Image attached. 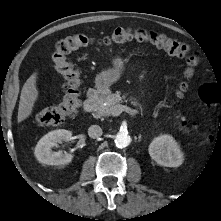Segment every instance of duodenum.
Here are the masks:
<instances>
[{"mask_svg":"<svg viewBox=\"0 0 221 221\" xmlns=\"http://www.w3.org/2000/svg\"><path fill=\"white\" fill-rule=\"evenodd\" d=\"M102 95H103V92L101 90H98V89L91 90L88 93L86 101L84 102L83 111L85 113H89L93 111L96 107L97 102L99 101Z\"/></svg>","mask_w":221,"mask_h":221,"instance_id":"duodenum-1","label":"duodenum"}]
</instances>
